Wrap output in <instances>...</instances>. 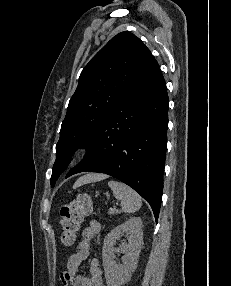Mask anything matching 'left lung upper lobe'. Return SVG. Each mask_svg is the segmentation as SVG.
I'll return each mask as SVG.
<instances>
[{
	"mask_svg": "<svg viewBox=\"0 0 231 286\" xmlns=\"http://www.w3.org/2000/svg\"><path fill=\"white\" fill-rule=\"evenodd\" d=\"M158 65L150 50L130 32L114 36L82 70L69 101L56 145L51 186L72 153L83 147L118 102Z\"/></svg>",
	"mask_w": 231,
	"mask_h": 286,
	"instance_id": "5c2ea615",
	"label": "left lung upper lobe"
}]
</instances>
